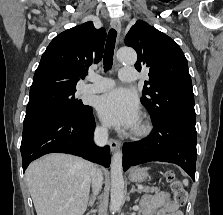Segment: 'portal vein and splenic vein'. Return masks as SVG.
<instances>
[{
    "label": "portal vein and splenic vein",
    "mask_w": 223,
    "mask_h": 215,
    "mask_svg": "<svg viewBox=\"0 0 223 215\" xmlns=\"http://www.w3.org/2000/svg\"><path fill=\"white\" fill-rule=\"evenodd\" d=\"M147 188L150 186L148 183L145 185ZM137 188V187H136ZM143 187L140 185V186H138V189H142ZM70 199H74V197H70Z\"/></svg>",
    "instance_id": "obj_1"
}]
</instances>
